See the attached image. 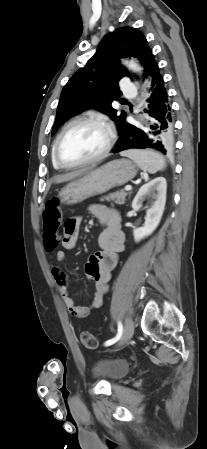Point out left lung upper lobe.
Segmentation results:
<instances>
[{"label": "left lung upper lobe", "mask_w": 207, "mask_h": 449, "mask_svg": "<svg viewBox=\"0 0 207 449\" xmlns=\"http://www.w3.org/2000/svg\"><path fill=\"white\" fill-rule=\"evenodd\" d=\"M127 56L138 58L145 73L155 62L145 36L136 28L121 27L103 37L86 66L64 86L52 134L71 116L90 107L109 115L120 130L126 115L118 116L111 103L122 95L118 82L128 72L118 60Z\"/></svg>", "instance_id": "obj_1"}]
</instances>
